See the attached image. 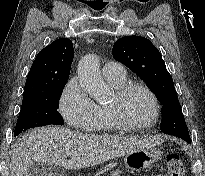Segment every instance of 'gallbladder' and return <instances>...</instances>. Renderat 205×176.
<instances>
[{
	"mask_svg": "<svg viewBox=\"0 0 205 176\" xmlns=\"http://www.w3.org/2000/svg\"><path fill=\"white\" fill-rule=\"evenodd\" d=\"M61 167L49 163H35L29 170L28 176H63Z\"/></svg>",
	"mask_w": 205,
	"mask_h": 176,
	"instance_id": "obj_1",
	"label": "gallbladder"
}]
</instances>
